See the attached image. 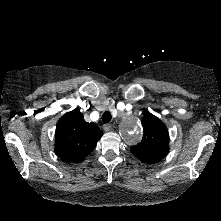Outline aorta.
I'll return each mask as SVG.
<instances>
[{
  "label": "aorta",
  "instance_id": "obj_1",
  "mask_svg": "<svg viewBox=\"0 0 221 221\" xmlns=\"http://www.w3.org/2000/svg\"><path fill=\"white\" fill-rule=\"evenodd\" d=\"M121 136L126 143L136 144L142 137V127L137 121H127L121 128Z\"/></svg>",
  "mask_w": 221,
  "mask_h": 221
}]
</instances>
